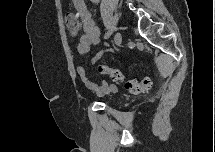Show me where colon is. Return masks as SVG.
I'll use <instances>...</instances> for the list:
<instances>
[{"mask_svg": "<svg viewBox=\"0 0 215 152\" xmlns=\"http://www.w3.org/2000/svg\"><path fill=\"white\" fill-rule=\"evenodd\" d=\"M80 19L76 14L67 13L65 16V25L67 30L76 35L80 30ZM98 73L102 75H109L113 80L123 82L126 90L131 94H141L149 91L153 86V80L149 77L144 78L142 81L126 79L123 74L114 68L109 67L106 64H98L96 66Z\"/></svg>", "mask_w": 215, "mask_h": 152, "instance_id": "5ec220e1", "label": "colon"}]
</instances>
